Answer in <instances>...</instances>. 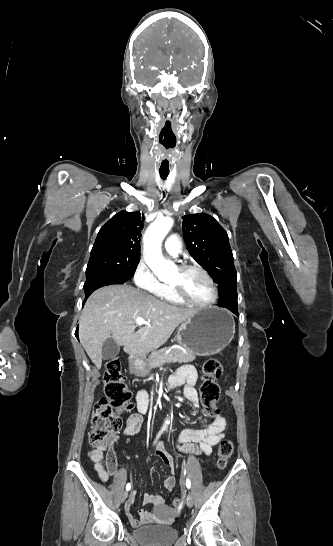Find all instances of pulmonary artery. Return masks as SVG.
I'll list each match as a JSON object with an SVG mask.
<instances>
[{
  "instance_id": "1",
  "label": "pulmonary artery",
  "mask_w": 333,
  "mask_h": 546,
  "mask_svg": "<svg viewBox=\"0 0 333 546\" xmlns=\"http://www.w3.org/2000/svg\"><path fill=\"white\" fill-rule=\"evenodd\" d=\"M164 248L169 255L174 257L178 256L181 252V241L179 236L176 234L169 236L164 243Z\"/></svg>"
}]
</instances>
